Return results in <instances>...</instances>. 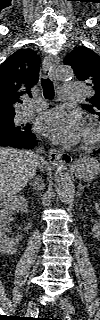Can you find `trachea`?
Listing matches in <instances>:
<instances>
[{"mask_svg":"<svg viewBox=\"0 0 100 320\" xmlns=\"http://www.w3.org/2000/svg\"><path fill=\"white\" fill-rule=\"evenodd\" d=\"M41 85H42V88H43L44 97L45 98H49V99L53 98L54 97V88H53L52 81L49 78H42L41 79Z\"/></svg>","mask_w":100,"mask_h":320,"instance_id":"trachea-1","label":"trachea"}]
</instances>
